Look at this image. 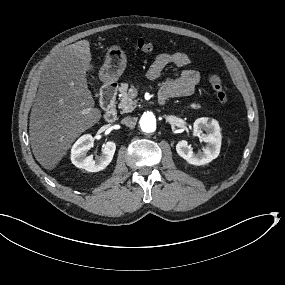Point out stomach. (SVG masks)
Masks as SVG:
<instances>
[{"label":"stomach","instance_id":"stomach-1","mask_svg":"<svg viewBox=\"0 0 285 285\" xmlns=\"http://www.w3.org/2000/svg\"><path fill=\"white\" fill-rule=\"evenodd\" d=\"M126 55L119 46H111L107 53L105 64L100 75L103 82L116 81L126 67Z\"/></svg>","mask_w":285,"mask_h":285}]
</instances>
